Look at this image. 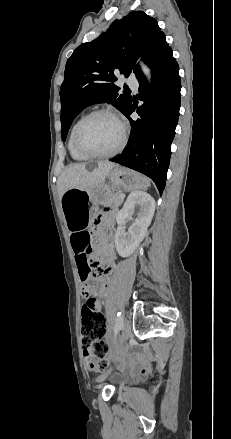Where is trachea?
<instances>
[{
    "mask_svg": "<svg viewBox=\"0 0 231 439\" xmlns=\"http://www.w3.org/2000/svg\"><path fill=\"white\" fill-rule=\"evenodd\" d=\"M125 90H126V91H129L130 89H129V88H126Z\"/></svg>",
    "mask_w": 231,
    "mask_h": 439,
    "instance_id": "obj_1",
    "label": "trachea"
}]
</instances>
